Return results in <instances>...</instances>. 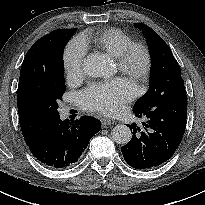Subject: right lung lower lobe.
Listing matches in <instances>:
<instances>
[{"label":"right lung lower lobe","instance_id":"right-lung-lower-lobe-1","mask_svg":"<svg viewBox=\"0 0 205 205\" xmlns=\"http://www.w3.org/2000/svg\"><path fill=\"white\" fill-rule=\"evenodd\" d=\"M101 129L100 122L82 116L71 122L57 116L44 125L27 145L31 153L52 168H67L80 159L91 137Z\"/></svg>","mask_w":205,"mask_h":205}]
</instances>
